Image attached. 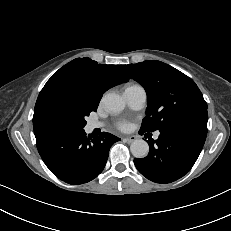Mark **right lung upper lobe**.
<instances>
[{"label":"right lung upper lobe","mask_w":231,"mask_h":231,"mask_svg":"<svg viewBox=\"0 0 231 231\" xmlns=\"http://www.w3.org/2000/svg\"><path fill=\"white\" fill-rule=\"evenodd\" d=\"M128 80L120 71V65L98 64L87 57L76 58L56 71L47 81L36 101L34 116L41 103L57 91L80 89L98 107L105 91Z\"/></svg>","instance_id":"cb5924a9"}]
</instances>
